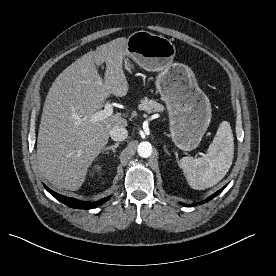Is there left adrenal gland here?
<instances>
[{"label": "left adrenal gland", "mask_w": 276, "mask_h": 276, "mask_svg": "<svg viewBox=\"0 0 276 276\" xmlns=\"http://www.w3.org/2000/svg\"><path fill=\"white\" fill-rule=\"evenodd\" d=\"M164 149H165V151L167 152V154L168 155H170V153L167 151V149H166V146H164Z\"/></svg>", "instance_id": "1"}]
</instances>
